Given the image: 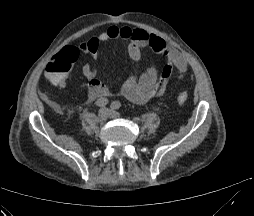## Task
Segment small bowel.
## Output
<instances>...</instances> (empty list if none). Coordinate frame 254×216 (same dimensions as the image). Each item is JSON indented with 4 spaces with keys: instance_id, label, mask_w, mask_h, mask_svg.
Listing matches in <instances>:
<instances>
[{
    "instance_id": "1",
    "label": "small bowel",
    "mask_w": 254,
    "mask_h": 216,
    "mask_svg": "<svg viewBox=\"0 0 254 216\" xmlns=\"http://www.w3.org/2000/svg\"><path fill=\"white\" fill-rule=\"evenodd\" d=\"M113 40L129 42L127 51L133 63L134 72L122 84L121 93L134 103L142 104L153 97L163 95L167 90L173 68L177 70L178 80H182L188 70L184 56L159 36L138 27L111 26L98 36L92 37L78 46L70 44L62 50L61 56L66 58L74 57L80 52L90 56L91 61L82 67V73L89 80L88 99L91 101L114 95L112 89L97 79L96 69L99 44ZM147 47L166 58L167 64L161 72H158L155 66H150L145 72L139 73L141 52ZM52 61L53 59L49 63ZM46 76L53 86L61 89L66 87L69 78L68 73L55 80L50 79L47 72Z\"/></svg>"
}]
</instances>
